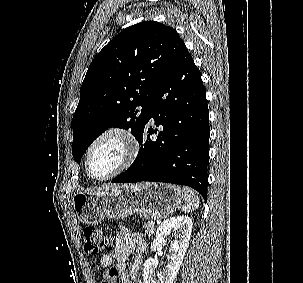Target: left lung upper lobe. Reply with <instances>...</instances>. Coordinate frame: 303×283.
<instances>
[{
    "mask_svg": "<svg viewBox=\"0 0 303 283\" xmlns=\"http://www.w3.org/2000/svg\"><path fill=\"white\" fill-rule=\"evenodd\" d=\"M184 48L175 29L145 21L123 30L96 55L72 119L77 163L108 128L131 129L139 140L149 103Z\"/></svg>",
    "mask_w": 303,
    "mask_h": 283,
    "instance_id": "5c2ea615",
    "label": "left lung upper lobe"
}]
</instances>
